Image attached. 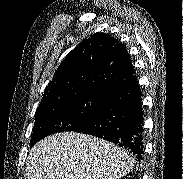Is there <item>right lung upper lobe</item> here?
I'll list each match as a JSON object with an SVG mask.
<instances>
[{
  "label": "right lung upper lobe",
  "mask_w": 183,
  "mask_h": 179,
  "mask_svg": "<svg viewBox=\"0 0 183 179\" xmlns=\"http://www.w3.org/2000/svg\"><path fill=\"white\" fill-rule=\"evenodd\" d=\"M134 72L126 46L109 34L95 33L65 57L39 106L89 94L103 95Z\"/></svg>",
  "instance_id": "right-lung-upper-lobe-1"
}]
</instances>
